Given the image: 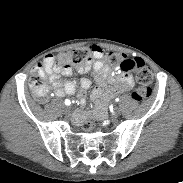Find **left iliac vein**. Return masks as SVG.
Returning <instances> with one entry per match:
<instances>
[{
  "mask_svg": "<svg viewBox=\"0 0 183 183\" xmlns=\"http://www.w3.org/2000/svg\"><path fill=\"white\" fill-rule=\"evenodd\" d=\"M114 113H115L116 115H120V114H121V109H120L119 107H115V108H114Z\"/></svg>",
  "mask_w": 183,
  "mask_h": 183,
  "instance_id": "4c4485c4",
  "label": "left iliac vein"
}]
</instances>
